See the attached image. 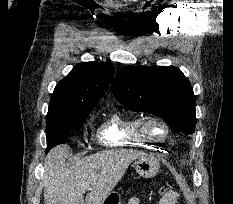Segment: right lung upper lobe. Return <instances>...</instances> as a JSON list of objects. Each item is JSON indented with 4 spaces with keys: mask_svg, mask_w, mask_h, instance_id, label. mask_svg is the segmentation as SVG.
Masks as SVG:
<instances>
[{
    "mask_svg": "<svg viewBox=\"0 0 233 204\" xmlns=\"http://www.w3.org/2000/svg\"><path fill=\"white\" fill-rule=\"evenodd\" d=\"M114 68L105 62L77 64L52 94L47 123L91 111L107 89Z\"/></svg>",
    "mask_w": 233,
    "mask_h": 204,
    "instance_id": "right-lung-upper-lobe-1",
    "label": "right lung upper lobe"
}]
</instances>
